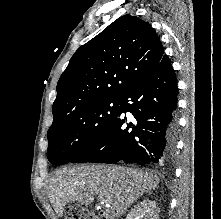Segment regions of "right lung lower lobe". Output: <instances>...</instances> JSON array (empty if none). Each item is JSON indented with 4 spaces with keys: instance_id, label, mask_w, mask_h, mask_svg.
Listing matches in <instances>:
<instances>
[{
    "instance_id": "right-lung-lower-lobe-1",
    "label": "right lung lower lobe",
    "mask_w": 221,
    "mask_h": 219,
    "mask_svg": "<svg viewBox=\"0 0 221 219\" xmlns=\"http://www.w3.org/2000/svg\"><path fill=\"white\" fill-rule=\"evenodd\" d=\"M177 80L165 55L120 98L121 108L102 136L71 163L165 164L175 154ZM130 112L133 122L123 113Z\"/></svg>"
}]
</instances>
